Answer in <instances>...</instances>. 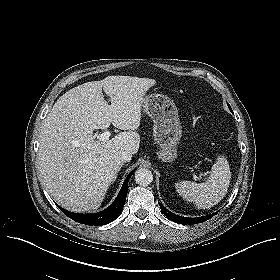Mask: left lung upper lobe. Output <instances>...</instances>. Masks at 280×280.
Here are the masks:
<instances>
[{"label":"left lung upper lobe","instance_id":"left-lung-upper-lobe-1","mask_svg":"<svg viewBox=\"0 0 280 280\" xmlns=\"http://www.w3.org/2000/svg\"><path fill=\"white\" fill-rule=\"evenodd\" d=\"M227 105H228V108L230 109V111L233 113V111H232V109H231V107H230V105L227 103Z\"/></svg>","mask_w":280,"mask_h":280}]
</instances>
